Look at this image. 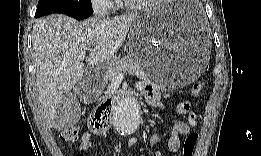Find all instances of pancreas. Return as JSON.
<instances>
[{
	"label": "pancreas",
	"mask_w": 261,
	"mask_h": 156,
	"mask_svg": "<svg viewBox=\"0 0 261 156\" xmlns=\"http://www.w3.org/2000/svg\"><path fill=\"white\" fill-rule=\"evenodd\" d=\"M119 73H129L137 76L144 74V66L129 54L121 59L113 60L105 72L106 82L112 81Z\"/></svg>",
	"instance_id": "pancreas-1"
}]
</instances>
